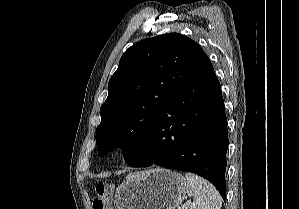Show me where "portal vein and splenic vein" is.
Wrapping results in <instances>:
<instances>
[{"instance_id": "portal-vein-and-splenic-vein-1", "label": "portal vein and splenic vein", "mask_w": 299, "mask_h": 209, "mask_svg": "<svg viewBox=\"0 0 299 209\" xmlns=\"http://www.w3.org/2000/svg\"><path fill=\"white\" fill-rule=\"evenodd\" d=\"M189 204H190V201L186 202V204L183 207H181L180 209H187Z\"/></svg>"}]
</instances>
